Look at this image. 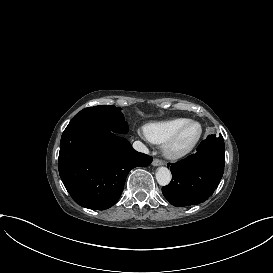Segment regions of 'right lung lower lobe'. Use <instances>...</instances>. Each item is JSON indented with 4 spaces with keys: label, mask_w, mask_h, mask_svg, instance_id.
Segmentation results:
<instances>
[{
    "label": "right lung lower lobe",
    "mask_w": 273,
    "mask_h": 273,
    "mask_svg": "<svg viewBox=\"0 0 273 273\" xmlns=\"http://www.w3.org/2000/svg\"><path fill=\"white\" fill-rule=\"evenodd\" d=\"M151 162L152 157L135 151L119 133L103 127L73 125L62 134L59 174L82 207L110 208L119 200L129 171Z\"/></svg>",
    "instance_id": "obj_1"
}]
</instances>
